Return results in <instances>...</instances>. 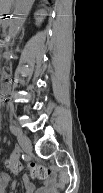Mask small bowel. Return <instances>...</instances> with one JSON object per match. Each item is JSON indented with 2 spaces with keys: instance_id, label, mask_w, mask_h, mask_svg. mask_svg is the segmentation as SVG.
<instances>
[{
  "instance_id": "c3829d8e",
  "label": "small bowel",
  "mask_w": 103,
  "mask_h": 193,
  "mask_svg": "<svg viewBox=\"0 0 103 193\" xmlns=\"http://www.w3.org/2000/svg\"><path fill=\"white\" fill-rule=\"evenodd\" d=\"M22 182L24 186V193H58L59 184L55 176L46 179L40 187H36L29 179L27 175L22 177ZM0 186L1 190L6 193H15L17 189V183L12 182L10 175L7 173H2L0 175Z\"/></svg>"
}]
</instances>
